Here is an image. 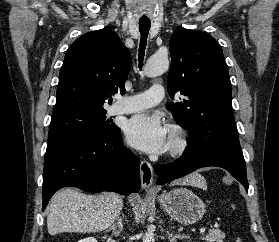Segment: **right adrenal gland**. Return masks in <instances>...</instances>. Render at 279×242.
<instances>
[{"instance_id":"right-adrenal-gland-1","label":"right adrenal gland","mask_w":279,"mask_h":242,"mask_svg":"<svg viewBox=\"0 0 279 242\" xmlns=\"http://www.w3.org/2000/svg\"><path fill=\"white\" fill-rule=\"evenodd\" d=\"M117 227H118V231H117ZM122 229H123L122 218L118 216L117 223L110 226L109 229L106 230V232L112 230L113 235L118 236L122 231Z\"/></svg>"}]
</instances>
